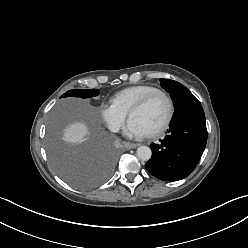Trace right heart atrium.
I'll use <instances>...</instances> for the list:
<instances>
[{
	"label": "right heart atrium",
	"instance_id": "d8ad5b80",
	"mask_svg": "<svg viewBox=\"0 0 248 248\" xmlns=\"http://www.w3.org/2000/svg\"><path fill=\"white\" fill-rule=\"evenodd\" d=\"M100 113L107 127L113 132H118L122 128L127 117V112L112 101L102 104Z\"/></svg>",
	"mask_w": 248,
	"mask_h": 248
}]
</instances>
